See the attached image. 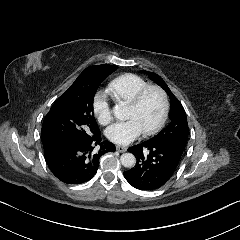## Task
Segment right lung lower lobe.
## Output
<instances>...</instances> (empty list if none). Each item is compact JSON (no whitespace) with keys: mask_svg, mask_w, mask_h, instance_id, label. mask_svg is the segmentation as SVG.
<instances>
[{"mask_svg":"<svg viewBox=\"0 0 240 240\" xmlns=\"http://www.w3.org/2000/svg\"><path fill=\"white\" fill-rule=\"evenodd\" d=\"M101 135L86 139H56L43 143L45 160L52 173L66 184H81L97 172L100 157L114 152L115 145ZM99 145V150L94 148Z\"/></svg>","mask_w":240,"mask_h":240,"instance_id":"1","label":"right lung lower lobe"}]
</instances>
